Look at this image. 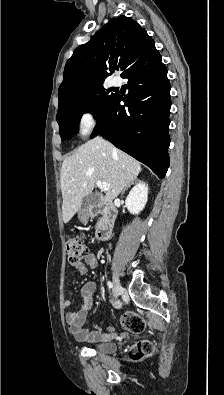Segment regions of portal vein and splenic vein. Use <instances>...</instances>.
Instances as JSON below:
<instances>
[{
  "instance_id": "1",
  "label": "portal vein and splenic vein",
  "mask_w": 224,
  "mask_h": 395,
  "mask_svg": "<svg viewBox=\"0 0 224 395\" xmlns=\"http://www.w3.org/2000/svg\"><path fill=\"white\" fill-rule=\"evenodd\" d=\"M96 185L98 186V188H99L101 191H108L109 188H110V186H109L108 183L102 182V181H100V180L96 181Z\"/></svg>"
}]
</instances>
